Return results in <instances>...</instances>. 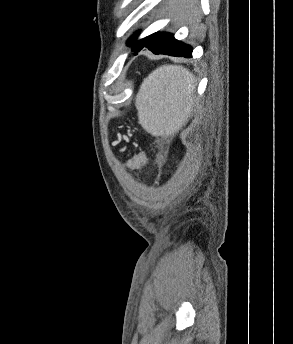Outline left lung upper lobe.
<instances>
[{
	"mask_svg": "<svg viewBox=\"0 0 293 344\" xmlns=\"http://www.w3.org/2000/svg\"><path fill=\"white\" fill-rule=\"evenodd\" d=\"M138 36V32H136L132 37L128 40L127 44L132 46L133 51L141 50L143 47L147 45H160L168 43L174 36L170 33H154L149 35L139 41H136Z\"/></svg>",
	"mask_w": 293,
	"mask_h": 344,
	"instance_id": "obj_1",
	"label": "left lung upper lobe"
}]
</instances>
